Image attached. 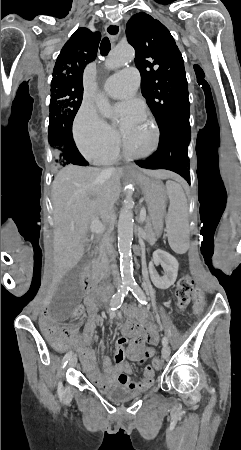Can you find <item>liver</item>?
Wrapping results in <instances>:
<instances>
[{
	"label": "liver",
	"mask_w": 241,
	"mask_h": 450,
	"mask_svg": "<svg viewBox=\"0 0 241 450\" xmlns=\"http://www.w3.org/2000/svg\"><path fill=\"white\" fill-rule=\"evenodd\" d=\"M156 180L173 178L166 170H143ZM123 170L112 168L111 174H102L99 168L66 166L58 172L52 184L54 208V268L52 286L77 266L86 252V236L92 222H113V206L121 194Z\"/></svg>",
	"instance_id": "6515ba94"
}]
</instances>
